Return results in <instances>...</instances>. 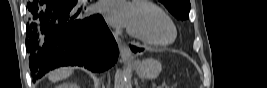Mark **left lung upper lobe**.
<instances>
[{"label":"left lung upper lobe","mask_w":267,"mask_h":88,"mask_svg":"<svg viewBox=\"0 0 267 88\" xmlns=\"http://www.w3.org/2000/svg\"><path fill=\"white\" fill-rule=\"evenodd\" d=\"M165 7L177 18H189L190 2L189 0H159Z\"/></svg>","instance_id":"left-lung-upper-lobe-1"}]
</instances>
